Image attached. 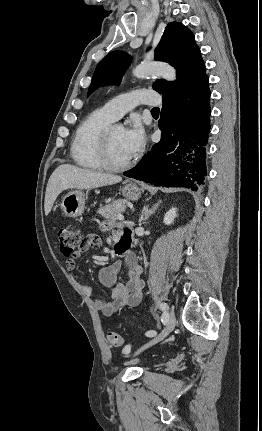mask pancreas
<instances>
[{
    "mask_svg": "<svg viewBox=\"0 0 262 431\" xmlns=\"http://www.w3.org/2000/svg\"><path fill=\"white\" fill-rule=\"evenodd\" d=\"M126 203V200L113 201L111 204L100 208L97 213L105 219L117 220L118 215L124 212Z\"/></svg>",
    "mask_w": 262,
    "mask_h": 431,
    "instance_id": "cf45deb5",
    "label": "pancreas"
}]
</instances>
